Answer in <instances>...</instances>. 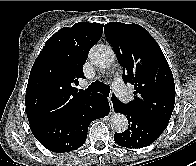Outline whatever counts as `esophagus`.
<instances>
[{
  "label": "esophagus",
  "instance_id": "esophagus-1",
  "mask_svg": "<svg viewBox=\"0 0 196 166\" xmlns=\"http://www.w3.org/2000/svg\"><path fill=\"white\" fill-rule=\"evenodd\" d=\"M108 101L110 103V108H111V111L113 112V103H112V94L108 97Z\"/></svg>",
  "mask_w": 196,
  "mask_h": 166
}]
</instances>
